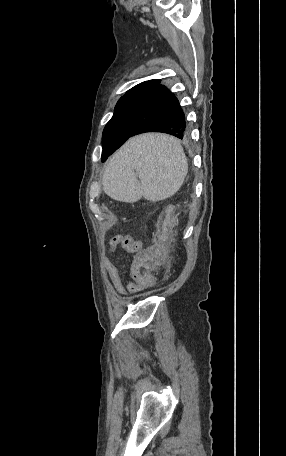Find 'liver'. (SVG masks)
I'll list each match as a JSON object with an SVG mask.
<instances>
[{
  "mask_svg": "<svg viewBox=\"0 0 286 456\" xmlns=\"http://www.w3.org/2000/svg\"><path fill=\"white\" fill-rule=\"evenodd\" d=\"M188 172L180 142L162 133L131 138L107 163L103 191L114 200L157 202L173 196ZM139 178V180H138Z\"/></svg>",
  "mask_w": 286,
  "mask_h": 456,
  "instance_id": "6515ba94",
  "label": "liver"
}]
</instances>
